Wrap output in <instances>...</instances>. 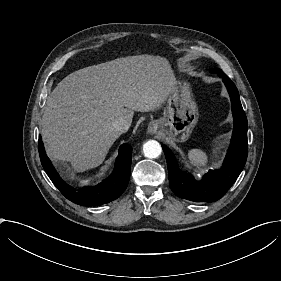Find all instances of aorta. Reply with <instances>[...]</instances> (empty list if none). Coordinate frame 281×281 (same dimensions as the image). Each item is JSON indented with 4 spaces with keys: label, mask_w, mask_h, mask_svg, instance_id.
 Listing matches in <instances>:
<instances>
[{
    "label": "aorta",
    "mask_w": 281,
    "mask_h": 281,
    "mask_svg": "<svg viewBox=\"0 0 281 281\" xmlns=\"http://www.w3.org/2000/svg\"><path fill=\"white\" fill-rule=\"evenodd\" d=\"M161 152V145L155 140H149L143 145V153L147 158H157Z\"/></svg>",
    "instance_id": "762f6f07"
}]
</instances>
